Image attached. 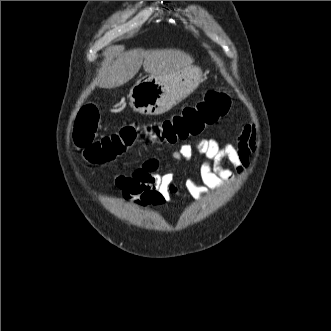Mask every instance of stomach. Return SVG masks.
Segmentation results:
<instances>
[{
	"instance_id": "obj_1",
	"label": "stomach",
	"mask_w": 331,
	"mask_h": 331,
	"mask_svg": "<svg viewBox=\"0 0 331 331\" xmlns=\"http://www.w3.org/2000/svg\"><path fill=\"white\" fill-rule=\"evenodd\" d=\"M201 76V69L193 65L168 78L145 76L131 87L130 105L140 114H163L186 98L199 85Z\"/></svg>"
}]
</instances>
